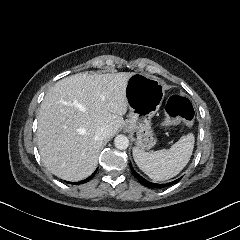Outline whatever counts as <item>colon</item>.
<instances>
[{
	"mask_svg": "<svg viewBox=\"0 0 240 240\" xmlns=\"http://www.w3.org/2000/svg\"><path fill=\"white\" fill-rule=\"evenodd\" d=\"M166 116L162 117V126H177V119L192 121L194 118V108L190 99L182 95L170 97L165 105Z\"/></svg>",
	"mask_w": 240,
	"mask_h": 240,
	"instance_id": "5ec220e1",
	"label": "colon"
}]
</instances>
